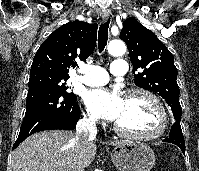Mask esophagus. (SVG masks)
Instances as JSON below:
<instances>
[{
  "instance_id": "obj_1",
  "label": "esophagus",
  "mask_w": 199,
  "mask_h": 171,
  "mask_svg": "<svg viewBox=\"0 0 199 171\" xmlns=\"http://www.w3.org/2000/svg\"><path fill=\"white\" fill-rule=\"evenodd\" d=\"M109 17H110V12H109V11H104V12L102 13V20H103V21L108 20Z\"/></svg>"
}]
</instances>
